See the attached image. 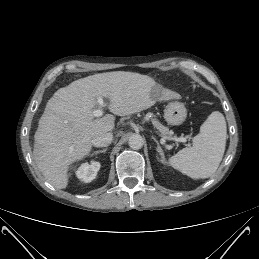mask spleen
<instances>
[{
    "label": "spleen",
    "mask_w": 259,
    "mask_h": 259,
    "mask_svg": "<svg viewBox=\"0 0 259 259\" xmlns=\"http://www.w3.org/2000/svg\"><path fill=\"white\" fill-rule=\"evenodd\" d=\"M227 138L226 121L219 111L212 112L193 139L192 147L180 150L168 164L192 179L210 177L222 161Z\"/></svg>",
    "instance_id": "obj_1"
}]
</instances>
